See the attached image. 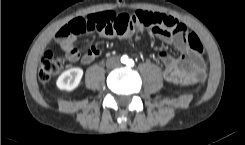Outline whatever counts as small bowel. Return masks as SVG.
I'll return each instance as SVG.
<instances>
[{
    "instance_id": "small-bowel-1",
    "label": "small bowel",
    "mask_w": 245,
    "mask_h": 145,
    "mask_svg": "<svg viewBox=\"0 0 245 145\" xmlns=\"http://www.w3.org/2000/svg\"><path fill=\"white\" fill-rule=\"evenodd\" d=\"M142 12L158 13L150 11H137L132 16L135 18V20H138V16ZM158 14L163 17H170L162 13ZM96 15H103L108 21H113L120 14L116 12H106L102 14L82 16L78 19L82 24H86L88 17ZM89 31L97 34L100 37H112L115 35V32L111 29L99 31L96 28H93ZM155 36L165 43L174 45L180 52V56L178 57H172L165 51H161L159 53L160 59L165 66L163 75L168 82L190 85L206 79V63L202 54L192 49L183 35H174L166 27L161 26L156 28ZM76 40V36H69L60 41L61 48L71 63L79 62L81 64H89L96 57L101 55L102 48L97 43H94L87 51L81 54L76 47Z\"/></svg>"
}]
</instances>
